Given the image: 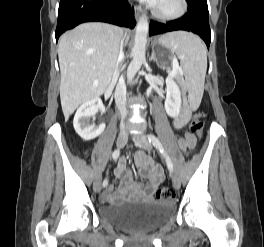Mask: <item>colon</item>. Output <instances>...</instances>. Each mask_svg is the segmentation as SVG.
I'll list each match as a JSON object with an SVG mask.
<instances>
[{"instance_id": "obj_1", "label": "colon", "mask_w": 264, "mask_h": 247, "mask_svg": "<svg viewBox=\"0 0 264 247\" xmlns=\"http://www.w3.org/2000/svg\"><path fill=\"white\" fill-rule=\"evenodd\" d=\"M204 114L202 112H197L194 114L191 123H190V129L191 131L200 136L203 128H204ZM157 198L160 200H169L173 198L174 192L170 188H161L156 193Z\"/></svg>"}]
</instances>
